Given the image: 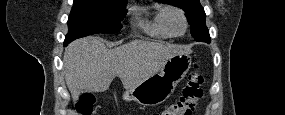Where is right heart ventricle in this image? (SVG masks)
<instances>
[{
	"label": "right heart ventricle",
	"mask_w": 285,
	"mask_h": 115,
	"mask_svg": "<svg viewBox=\"0 0 285 115\" xmlns=\"http://www.w3.org/2000/svg\"><path fill=\"white\" fill-rule=\"evenodd\" d=\"M163 9H156L151 12L142 11L137 9V15L139 17L138 26L146 33L156 36L158 38H171L172 36L165 29L162 20L161 13Z\"/></svg>",
	"instance_id": "right-heart-ventricle-1"
}]
</instances>
